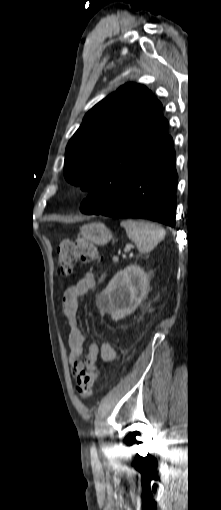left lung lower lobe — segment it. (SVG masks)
I'll use <instances>...</instances> for the list:
<instances>
[{
    "label": "left lung lower lobe",
    "instance_id": "0a47b994",
    "mask_svg": "<svg viewBox=\"0 0 221 510\" xmlns=\"http://www.w3.org/2000/svg\"><path fill=\"white\" fill-rule=\"evenodd\" d=\"M173 145L150 157L104 208L96 209L84 200L80 210L121 218H144L175 226L176 183Z\"/></svg>",
    "mask_w": 221,
    "mask_h": 510
}]
</instances>
